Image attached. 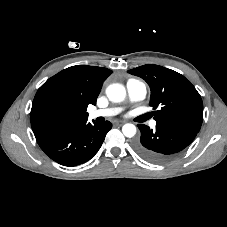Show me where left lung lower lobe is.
<instances>
[{
  "mask_svg": "<svg viewBox=\"0 0 227 227\" xmlns=\"http://www.w3.org/2000/svg\"><path fill=\"white\" fill-rule=\"evenodd\" d=\"M141 137L133 147L145 160L152 163H165L176 153L186 148L196 137L198 131L178 124L158 123L156 130L138 124Z\"/></svg>",
  "mask_w": 227,
  "mask_h": 227,
  "instance_id": "1",
  "label": "left lung lower lobe"
}]
</instances>
